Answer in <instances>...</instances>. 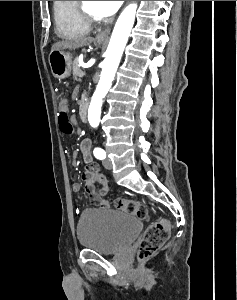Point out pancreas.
Here are the masks:
<instances>
[{"label": "pancreas", "instance_id": "1", "mask_svg": "<svg viewBox=\"0 0 237 300\" xmlns=\"http://www.w3.org/2000/svg\"><path fill=\"white\" fill-rule=\"evenodd\" d=\"M72 69H73V75H74V77H81V76H79V73H80L79 69H80V67H79V63H78L77 57L73 61V67H72Z\"/></svg>", "mask_w": 237, "mask_h": 300}]
</instances>
